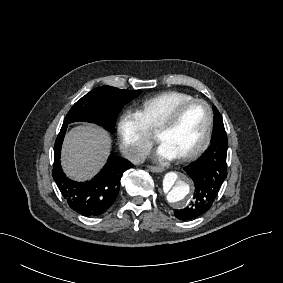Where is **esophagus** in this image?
<instances>
[{
    "instance_id": "34e87169",
    "label": "esophagus",
    "mask_w": 283,
    "mask_h": 283,
    "mask_svg": "<svg viewBox=\"0 0 283 283\" xmlns=\"http://www.w3.org/2000/svg\"><path fill=\"white\" fill-rule=\"evenodd\" d=\"M148 169L151 172H154V173H161V172L164 171V169L162 167H159V166H148Z\"/></svg>"
}]
</instances>
